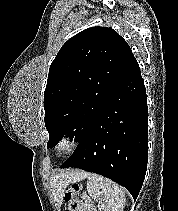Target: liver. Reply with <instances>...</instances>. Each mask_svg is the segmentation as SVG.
I'll list each match as a JSON object with an SVG mask.
<instances>
[{
	"instance_id": "1",
	"label": "liver",
	"mask_w": 178,
	"mask_h": 211,
	"mask_svg": "<svg viewBox=\"0 0 178 211\" xmlns=\"http://www.w3.org/2000/svg\"><path fill=\"white\" fill-rule=\"evenodd\" d=\"M84 173L79 170H62L59 173H54L50 178V186L52 189V194L58 206L62 203V198L66 187L70 183L77 182L83 178Z\"/></svg>"
}]
</instances>
